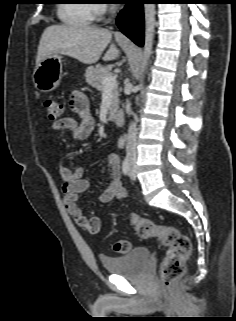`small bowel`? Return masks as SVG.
<instances>
[{
  "instance_id": "obj_1",
  "label": "small bowel",
  "mask_w": 236,
  "mask_h": 321,
  "mask_svg": "<svg viewBox=\"0 0 236 321\" xmlns=\"http://www.w3.org/2000/svg\"><path fill=\"white\" fill-rule=\"evenodd\" d=\"M70 107L74 115L66 116L53 122L54 131H66L75 140L88 139L94 130V119L89 113L88 97L82 92H75L70 97ZM109 179L101 192V202H110L113 199H124L127 196L121 184V165L119 156L110 153L107 156ZM59 173L62 178L63 201L67 212L73 216L75 223L89 233H97L102 225L99 217H87L78 205L79 195L85 192L90 182L83 178L81 167L71 169L62 162L59 163Z\"/></svg>"
}]
</instances>
